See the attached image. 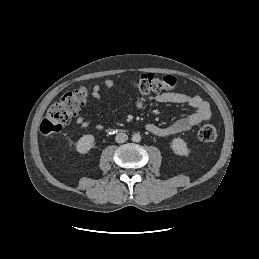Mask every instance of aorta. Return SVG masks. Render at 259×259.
Here are the masks:
<instances>
[{"label": "aorta", "mask_w": 259, "mask_h": 259, "mask_svg": "<svg viewBox=\"0 0 259 259\" xmlns=\"http://www.w3.org/2000/svg\"><path fill=\"white\" fill-rule=\"evenodd\" d=\"M132 141L133 142H140L141 141V135L139 133H135L132 135Z\"/></svg>", "instance_id": "aorta-1"}]
</instances>
